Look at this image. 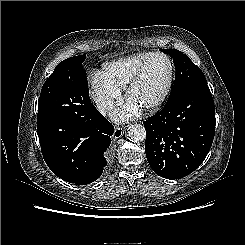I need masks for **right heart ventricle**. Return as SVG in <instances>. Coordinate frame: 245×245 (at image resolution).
<instances>
[{
    "label": "right heart ventricle",
    "instance_id": "obj_1",
    "mask_svg": "<svg viewBox=\"0 0 245 245\" xmlns=\"http://www.w3.org/2000/svg\"><path fill=\"white\" fill-rule=\"evenodd\" d=\"M150 53H139L104 66V76L118 89H125L140 65Z\"/></svg>",
    "mask_w": 245,
    "mask_h": 245
}]
</instances>
